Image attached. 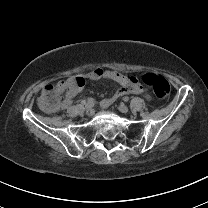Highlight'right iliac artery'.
I'll return each mask as SVG.
<instances>
[{
    "mask_svg": "<svg viewBox=\"0 0 208 208\" xmlns=\"http://www.w3.org/2000/svg\"><path fill=\"white\" fill-rule=\"evenodd\" d=\"M94 102H95V101H94L93 98H89L88 101H87V103H90V104H94Z\"/></svg>",
    "mask_w": 208,
    "mask_h": 208,
    "instance_id": "1",
    "label": "right iliac artery"
}]
</instances>
